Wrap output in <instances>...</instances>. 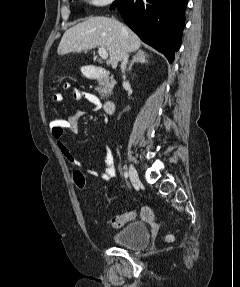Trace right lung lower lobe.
<instances>
[{
  "label": "right lung lower lobe",
  "instance_id": "obj_1",
  "mask_svg": "<svg viewBox=\"0 0 240 287\" xmlns=\"http://www.w3.org/2000/svg\"><path fill=\"white\" fill-rule=\"evenodd\" d=\"M187 0H116L124 22L169 62L181 45Z\"/></svg>",
  "mask_w": 240,
  "mask_h": 287
}]
</instances>
